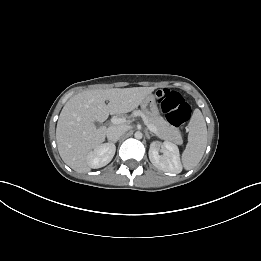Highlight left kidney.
I'll use <instances>...</instances> for the list:
<instances>
[{
	"label": "left kidney",
	"mask_w": 261,
	"mask_h": 261,
	"mask_svg": "<svg viewBox=\"0 0 261 261\" xmlns=\"http://www.w3.org/2000/svg\"><path fill=\"white\" fill-rule=\"evenodd\" d=\"M159 151L163 155H159ZM149 159L156 168L164 172L178 174L182 171L179 149L171 142L165 141L162 144L157 141L152 142L149 148Z\"/></svg>",
	"instance_id": "5707ae66"
}]
</instances>
